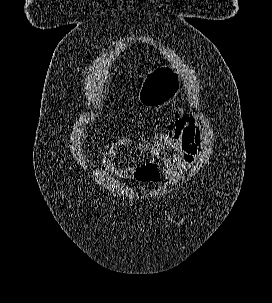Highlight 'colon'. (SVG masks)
<instances>
[{
	"instance_id": "obj_1",
	"label": "colon",
	"mask_w": 272,
	"mask_h": 303,
	"mask_svg": "<svg viewBox=\"0 0 272 303\" xmlns=\"http://www.w3.org/2000/svg\"><path fill=\"white\" fill-rule=\"evenodd\" d=\"M135 177L141 181L156 182L158 179L157 167L152 163L143 164L136 170Z\"/></svg>"
}]
</instances>
